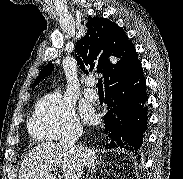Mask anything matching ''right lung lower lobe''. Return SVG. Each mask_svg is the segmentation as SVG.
Listing matches in <instances>:
<instances>
[{
  "mask_svg": "<svg viewBox=\"0 0 183 179\" xmlns=\"http://www.w3.org/2000/svg\"><path fill=\"white\" fill-rule=\"evenodd\" d=\"M146 101L141 63L130 74L106 86L105 103L109 108L104 117L106 149L124 148L136 153L143 147L148 119Z\"/></svg>",
  "mask_w": 183,
  "mask_h": 179,
  "instance_id": "obj_1",
  "label": "right lung lower lobe"
}]
</instances>
